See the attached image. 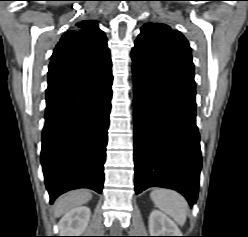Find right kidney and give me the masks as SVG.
I'll return each instance as SVG.
<instances>
[{"instance_id":"right-kidney-1","label":"right kidney","mask_w":248,"mask_h":237,"mask_svg":"<svg viewBox=\"0 0 248 237\" xmlns=\"http://www.w3.org/2000/svg\"><path fill=\"white\" fill-rule=\"evenodd\" d=\"M91 211L86 206H79L67 212L59 222L60 236H81L90 221Z\"/></svg>"}]
</instances>
